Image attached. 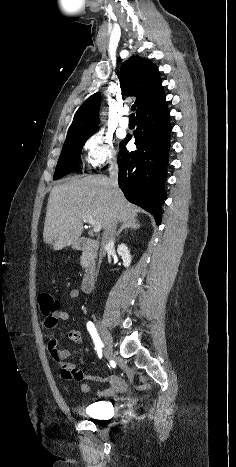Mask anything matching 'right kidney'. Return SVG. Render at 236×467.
Segmentation results:
<instances>
[{
	"mask_svg": "<svg viewBox=\"0 0 236 467\" xmlns=\"http://www.w3.org/2000/svg\"><path fill=\"white\" fill-rule=\"evenodd\" d=\"M117 252L122 257L124 267H129L131 263V255L128 247L125 244H121L118 246Z\"/></svg>",
	"mask_w": 236,
	"mask_h": 467,
	"instance_id": "right-kidney-1",
	"label": "right kidney"
}]
</instances>
